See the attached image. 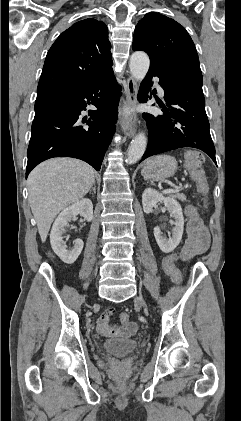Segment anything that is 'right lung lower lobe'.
<instances>
[{"mask_svg": "<svg viewBox=\"0 0 241 421\" xmlns=\"http://www.w3.org/2000/svg\"><path fill=\"white\" fill-rule=\"evenodd\" d=\"M119 86L113 70L82 85L65 87L37 96L26 177L44 160L53 157L81 159L97 171L115 132ZM93 104L90 118L81 111ZM87 122L88 127L79 126Z\"/></svg>", "mask_w": 241, "mask_h": 421, "instance_id": "1", "label": "right lung lower lobe"}]
</instances>
